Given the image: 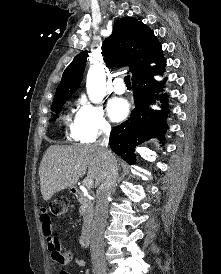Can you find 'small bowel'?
<instances>
[{"label": "small bowel", "mask_w": 221, "mask_h": 274, "mask_svg": "<svg viewBox=\"0 0 221 274\" xmlns=\"http://www.w3.org/2000/svg\"><path fill=\"white\" fill-rule=\"evenodd\" d=\"M40 223L47 243V249L50 251L52 259L60 264L69 263L71 255L63 249L58 237L56 236L54 221L46 208L40 210ZM78 265L83 266L84 261L79 260ZM60 274L69 273L66 270H62Z\"/></svg>", "instance_id": "c3829d8e"}]
</instances>
